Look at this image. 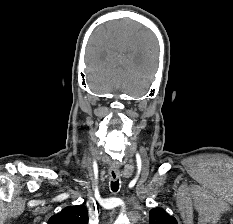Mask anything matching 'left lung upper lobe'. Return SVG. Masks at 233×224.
I'll list each match as a JSON object with an SVG mask.
<instances>
[{
	"mask_svg": "<svg viewBox=\"0 0 233 224\" xmlns=\"http://www.w3.org/2000/svg\"><path fill=\"white\" fill-rule=\"evenodd\" d=\"M150 224H178L173 216H170L162 208L150 210Z\"/></svg>",
	"mask_w": 233,
	"mask_h": 224,
	"instance_id": "obj_1",
	"label": "left lung upper lobe"
}]
</instances>
